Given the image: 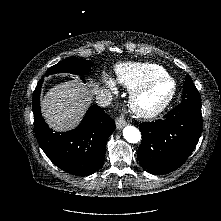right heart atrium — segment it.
Instances as JSON below:
<instances>
[{
  "instance_id": "d8ad5b80",
  "label": "right heart atrium",
  "mask_w": 221,
  "mask_h": 221,
  "mask_svg": "<svg viewBox=\"0 0 221 221\" xmlns=\"http://www.w3.org/2000/svg\"><path fill=\"white\" fill-rule=\"evenodd\" d=\"M107 85L111 88V89H115L114 83L112 80L107 79L106 80Z\"/></svg>"
}]
</instances>
